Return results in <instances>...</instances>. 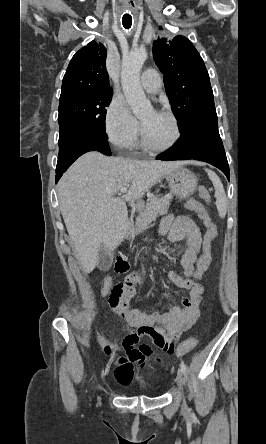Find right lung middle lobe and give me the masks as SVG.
<instances>
[{"label": "right lung middle lobe", "mask_w": 266, "mask_h": 444, "mask_svg": "<svg viewBox=\"0 0 266 444\" xmlns=\"http://www.w3.org/2000/svg\"><path fill=\"white\" fill-rule=\"evenodd\" d=\"M111 98L112 90H107L59 101V155L87 136L106 137L105 107Z\"/></svg>", "instance_id": "1"}]
</instances>
